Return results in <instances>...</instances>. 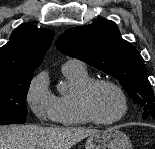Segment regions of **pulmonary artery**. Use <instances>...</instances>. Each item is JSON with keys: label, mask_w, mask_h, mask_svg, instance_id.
Masks as SVG:
<instances>
[{"label": "pulmonary artery", "mask_w": 155, "mask_h": 149, "mask_svg": "<svg viewBox=\"0 0 155 149\" xmlns=\"http://www.w3.org/2000/svg\"><path fill=\"white\" fill-rule=\"evenodd\" d=\"M84 64L76 59H70L63 64L62 69H82Z\"/></svg>", "instance_id": "e3ab8cb5"}]
</instances>
